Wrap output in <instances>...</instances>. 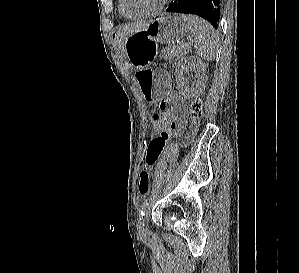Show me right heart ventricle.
Instances as JSON below:
<instances>
[{"label":"right heart ventricle","instance_id":"1","mask_svg":"<svg viewBox=\"0 0 299 273\" xmlns=\"http://www.w3.org/2000/svg\"><path fill=\"white\" fill-rule=\"evenodd\" d=\"M119 11H120V14L123 16V17H126L120 10V7H119Z\"/></svg>","mask_w":299,"mask_h":273}]
</instances>
